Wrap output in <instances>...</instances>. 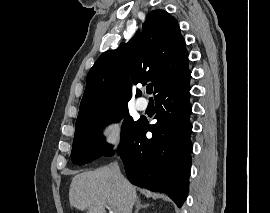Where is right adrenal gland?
<instances>
[{
  "mask_svg": "<svg viewBox=\"0 0 270 213\" xmlns=\"http://www.w3.org/2000/svg\"><path fill=\"white\" fill-rule=\"evenodd\" d=\"M148 206H149V204L142 205L141 201L137 200L136 205H135V207H136L135 213H138L141 209L147 208Z\"/></svg>",
  "mask_w": 270,
  "mask_h": 213,
  "instance_id": "obj_1",
  "label": "right adrenal gland"
}]
</instances>
